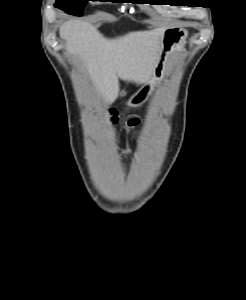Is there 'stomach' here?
<instances>
[{"mask_svg":"<svg viewBox=\"0 0 246 300\" xmlns=\"http://www.w3.org/2000/svg\"><path fill=\"white\" fill-rule=\"evenodd\" d=\"M187 37V31L182 28H169L164 32L160 56L152 76V80L146 83L136 94L128 101L127 105L138 107L142 105L148 98L152 89L153 80H161L168 72V62L171 56L181 49Z\"/></svg>","mask_w":246,"mask_h":300,"instance_id":"obj_1","label":"stomach"}]
</instances>
